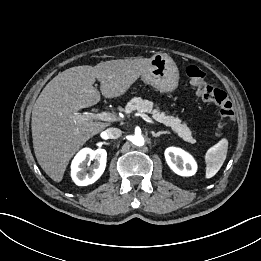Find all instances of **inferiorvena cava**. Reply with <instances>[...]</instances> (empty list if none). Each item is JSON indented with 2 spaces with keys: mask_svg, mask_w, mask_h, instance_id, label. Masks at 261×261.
Returning a JSON list of instances; mask_svg holds the SVG:
<instances>
[{
  "mask_svg": "<svg viewBox=\"0 0 261 261\" xmlns=\"http://www.w3.org/2000/svg\"><path fill=\"white\" fill-rule=\"evenodd\" d=\"M104 134L107 139H116L121 136L122 131L118 128L111 127V128H107L104 131Z\"/></svg>",
  "mask_w": 261,
  "mask_h": 261,
  "instance_id": "602c4592",
  "label": "inferior vena cava"
}]
</instances>
